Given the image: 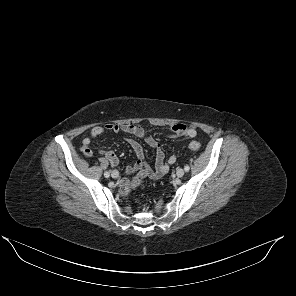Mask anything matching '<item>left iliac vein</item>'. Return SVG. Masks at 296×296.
<instances>
[{
  "mask_svg": "<svg viewBox=\"0 0 296 296\" xmlns=\"http://www.w3.org/2000/svg\"><path fill=\"white\" fill-rule=\"evenodd\" d=\"M184 174H185V171H184V169H182V168H179V169L176 171V175H177V177H182Z\"/></svg>",
  "mask_w": 296,
  "mask_h": 296,
  "instance_id": "1",
  "label": "left iliac vein"
}]
</instances>
